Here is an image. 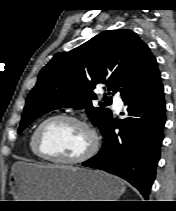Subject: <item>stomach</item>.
Returning a JSON list of instances; mask_svg holds the SVG:
<instances>
[{"mask_svg": "<svg viewBox=\"0 0 176 211\" xmlns=\"http://www.w3.org/2000/svg\"><path fill=\"white\" fill-rule=\"evenodd\" d=\"M10 186L16 201H116L125 191L103 171L25 162L14 164Z\"/></svg>", "mask_w": 176, "mask_h": 211, "instance_id": "obj_1", "label": "stomach"}]
</instances>
